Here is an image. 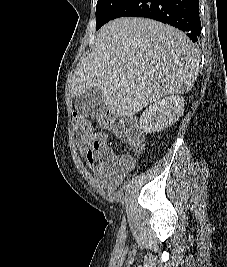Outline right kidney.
<instances>
[{"instance_id": "right-kidney-1", "label": "right kidney", "mask_w": 227, "mask_h": 267, "mask_svg": "<svg viewBox=\"0 0 227 267\" xmlns=\"http://www.w3.org/2000/svg\"><path fill=\"white\" fill-rule=\"evenodd\" d=\"M184 98L171 95L155 101L142 113L140 129L145 133L160 132L179 120L184 112Z\"/></svg>"}]
</instances>
